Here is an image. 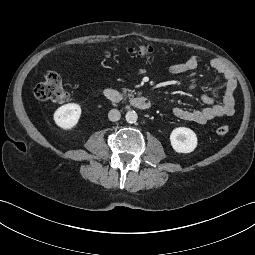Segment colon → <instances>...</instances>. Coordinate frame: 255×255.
Masks as SVG:
<instances>
[{
	"label": "colon",
	"mask_w": 255,
	"mask_h": 255,
	"mask_svg": "<svg viewBox=\"0 0 255 255\" xmlns=\"http://www.w3.org/2000/svg\"><path fill=\"white\" fill-rule=\"evenodd\" d=\"M131 52H137L140 55L151 57L153 49L150 46H137L129 49ZM36 98L42 101H51L54 103H64L68 99V93L64 89L62 79L59 74L51 72L45 75L44 79L38 83L34 89ZM229 127L222 125L217 128L218 135H226Z\"/></svg>",
	"instance_id": "colon-1"
}]
</instances>
